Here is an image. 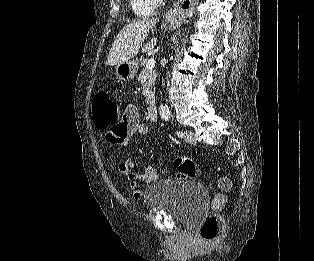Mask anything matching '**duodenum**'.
Returning a JSON list of instances; mask_svg holds the SVG:
<instances>
[{"instance_id":"410a0bca","label":"duodenum","mask_w":314,"mask_h":261,"mask_svg":"<svg viewBox=\"0 0 314 261\" xmlns=\"http://www.w3.org/2000/svg\"><path fill=\"white\" fill-rule=\"evenodd\" d=\"M147 115L151 121L157 120V107L153 103L149 104L147 109Z\"/></svg>"}]
</instances>
